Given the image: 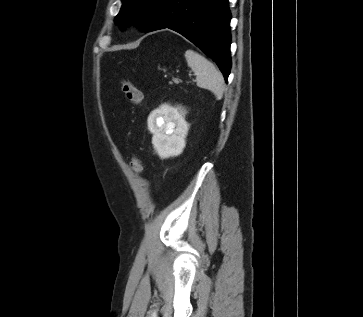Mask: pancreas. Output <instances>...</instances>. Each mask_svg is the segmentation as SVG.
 Masks as SVG:
<instances>
[{
  "label": "pancreas",
  "mask_w": 363,
  "mask_h": 317,
  "mask_svg": "<svg viewBox=\"0 0 363 317\" xmlns=\"http://www.w3.org/2000/svg\"><path fill=\"white\" fill-rule=\"evenodd\" d=\"M179 81H180V80H179L178 78H174V79H173V82H174V83H179Z\"/></svg>",
  "instance_id": "cf45deb5"
}]
</instances>
